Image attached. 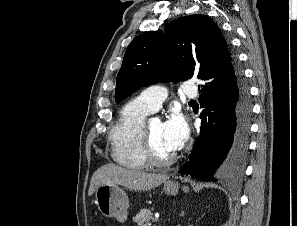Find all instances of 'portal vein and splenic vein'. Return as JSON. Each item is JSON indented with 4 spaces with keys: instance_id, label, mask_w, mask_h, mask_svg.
I'll use <instances>...</instances> for the list:
<instances>
[{
    "instance_id": "portal-vein-and-splenic-vein-1",
    "label": "portal vein and splenic vein",
    "mask_w": 297,
    "mask_h": 226,
    "mask_svg": "<svg viewBox=\"0 0 297 226\" xmlns=\"http://www.w3.org/2000/svg\"><path fill=\"white\" fill-rule=\"evenodd\" d=\"M158 220H159V215L157 214V215H155V218L153 219V222H156Z\"/></svg>"
}]
</instances>
